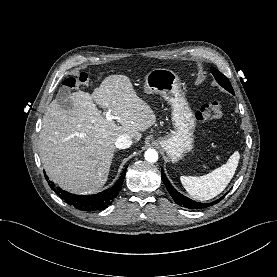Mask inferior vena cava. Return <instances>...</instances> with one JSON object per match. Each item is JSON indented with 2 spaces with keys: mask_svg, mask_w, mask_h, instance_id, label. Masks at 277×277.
<instances>
[{
  "mask_svg": "<svg viewBox=\"0 0 277 277\" xmlns=\"http://www.w3.org/2000/svg\"><path fill=\"white\" fill-rule=\"evenodd\" d=\"M132 145V139L127 135H121L117 138L115 146L118 149H126Z\"/></svg>",
  "mask_w": 277,
  "mask_h": 277,
  "instance_id": "1",
  "label": "inferior vena cava"
}]
</instances>
